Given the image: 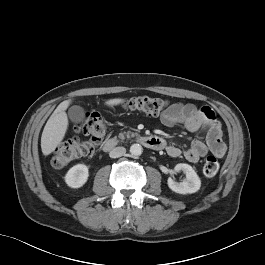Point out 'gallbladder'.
Wrapping results in <instances>:
<instances>
[{"mask_svg": "<svg viewBox=\"0 0 265 265\" xmlns=\"http://www.w3.org/2000/svg\"><path fill=\"white\" fill-rule=\"evenodd\" d=\"M68 116L72 122L79 123L85 118V111L80 106H72L68 110Z\"/></svg>", "mask_w": 265, "mask_h": 265, "instance_id": "1", "label": "gallbladder"}]
</instances>
